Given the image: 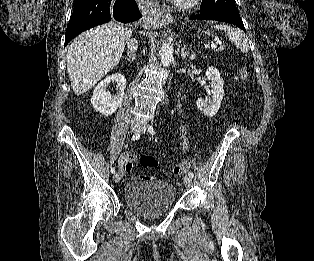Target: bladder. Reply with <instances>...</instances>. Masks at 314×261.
<instances>
[{
	"mask_svg": "<svg viewBox=\"0 0 314 261\" xmlns=\"http://www.w3.org/2000/svg\"><path fill=\"white\" fill-rule=\"evenodd\" d=\"M124 203L135 213L154 219L166 214L176 202V188L163 181H131L124 188Z\"/></svg>",
	"mask_w": 314,
	"mask_h": 261,
	"instance_id": "bladder-1",
	"label": "bladder"
}]
</instances>
